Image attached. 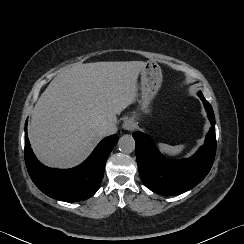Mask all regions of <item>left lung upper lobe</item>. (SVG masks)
I'll list each match as a JSON object with an SVG mask.
<instances>
[{
    "label": "left lung upper lobe",
    "mask_w": 244,
    "mask_h": 244,
    "mask_svg": "<svg viewBox=\"0 0 244 244\" xmlns=\"http://www.w3.org/2000/svg\"><path fill=\"white\" fill-rule=\"evenodd\" d=\"M199 97L203 101L204 105L207 106L208 101L204 98L203 94L201 92L198 93Z\"/></svg>",
    "instance_id": "obj_1"
}]
</instances>
